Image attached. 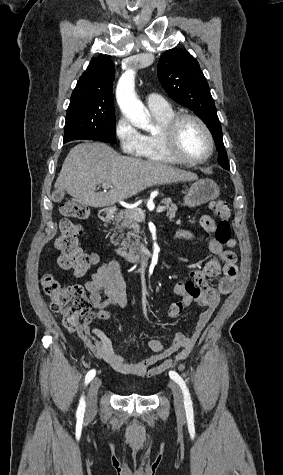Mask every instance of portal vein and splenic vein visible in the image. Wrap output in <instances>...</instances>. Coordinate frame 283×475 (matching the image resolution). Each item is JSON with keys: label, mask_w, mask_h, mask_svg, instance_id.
<instances>
[{"label": "portal vein and splenic vein", "mask_w": 283, "mask_h": 475, "mask_svg": "<svg viewBox=\"0 0 283 475\" xmlns=\"http://www.w3.org/2000/svg\"><path fill=\"white\" fill-rule=\"evenodd\" d=\"M102 188H113V186H111L110 182H108V184H102ZM164 210V206H158L156 212H163ZM139 214H141V216H144L142 210H139Z\"/></svg>", "instance_id": "portal-vein-and-splenic-vein-1"}]
</instances>
